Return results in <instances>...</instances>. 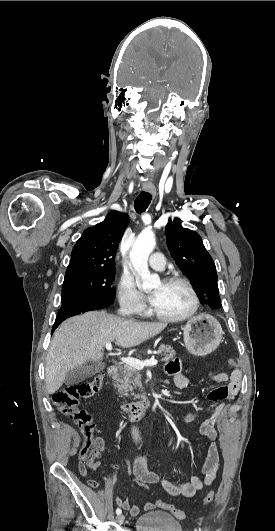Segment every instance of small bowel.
I'll return each instance as SVG.
<instances>
[{"label":"small bowel","mask_w":275,"mask_h":531,"mask_svg":"<svg viewBox=\"0 0 275 531\" xmlns=\"http://www.w3.org/2000/svg\"><path fill=\"white\" fill-rule=\"evenodd\" d=\"M183 363L180 358H173L166 364V372L173 376V386L177 390H184L190 385V379L182 372ZM241 371L233 370L232 372H218L210 377V380L217 384H224L229 390L228 397L233 399L236 397L240 383ZM227 405L221 403L217 406L215 412L207 418L200 427V434L211 440H216L218 432L216 423L218 419L224 414ZM198 417L197 412H188L180 415L182 422H189ZM102 442H100L101 444ZM82 448V446H81ZM91 458H99V454H94ZM220 463L219 448L215 442H211L207 448V454L202 466V476L193 475L189 481L175 482L169 479H160L157 473L148 467V461L145 454L141 453L134 464V476L136 480L143 479L147 485H154L160 483L164 490L172 496L192 497L197 491L210 485L216 478ZM83 476V475H82ZM98 487V486H97ZM95 489V488H94ZM116 504L124 510H127L132 517L138 516L142 511L150 512L155 505L152 502H146L142 507L138 505H130L127 497L119 496L116 498Z\"/></svg>","instance_id":"small-bowel-1"}]
</instances>
